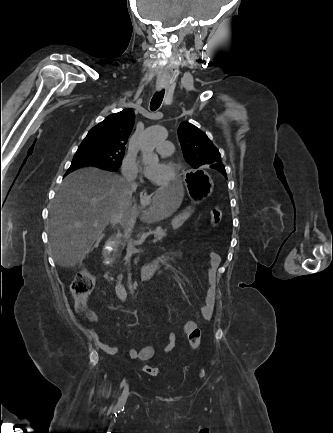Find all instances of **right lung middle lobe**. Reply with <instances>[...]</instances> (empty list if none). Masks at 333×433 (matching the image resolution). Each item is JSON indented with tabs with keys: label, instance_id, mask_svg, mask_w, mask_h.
<instances>
[{
	"label": "right lung middle lobe",
	"instance_id": "dd1d6c3e",
	"mask_svg": "<svg viewBox=\"0 0 333 433\" xmlns=\"http://www.w3.org/2000/svg\"><path fill=\"white\" fill-rule=\"evenodd\" d=\"M125 149L99 147L95 143L83 141L79 146L73 163H90L117 170L121 165Z\"/></svg>",
	"mask_w": 333,
	"mask_h": 433
}]
</instances>
